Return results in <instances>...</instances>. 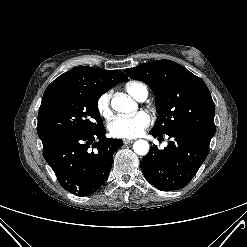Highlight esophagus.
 <instances>
[{
    "mask_svg": "<svg viewBox=\"0 0 247 247\" xmlns=\"http://www.w3.org/2000/svg\"><path fill=\"white\" fill-rule=\"evenodd\" d=\"M134 142V140H132V139H124L123 140V143L124 144H131V143H133Z\"/></svg>",
    "mask_w": 247,
    "mask_h": 247,
    "instance_id": "obj_1",
    "label": "esophagus"
}]
</instances>
